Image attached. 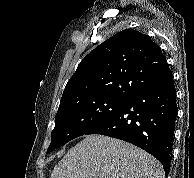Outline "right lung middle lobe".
I'll use <instances>...</instances> for the list:
<instances>
[{"label":"right lung middle lobe","mask_w":194,"mask_h":178,"mask_svg":"<svg viewBox=\"0 0 194 178\" xmlns=\"http://www.w3.org/2000/svg\"><path fill=\"white\" fill-rule=\"evenodd\" d=\"M128 99L118 97H91L72 101L58 109L51 144L47 152L84 135L92 127L115 112Z\"/></svg>","instance_id":"dd1d6c3e"}]
</instances>
